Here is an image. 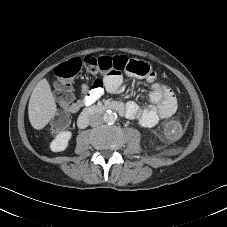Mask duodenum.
Returning a JSON list of instances; mask_svg holds the SVG:
<instances>
[{"instance_id":"1","label":"duodenum","mask_w":227,"mask_h":227,"mask_svg":"<svg viewBox=\"0 0 227 227\" xmlns=\"http://www.w3.org/2000/svg\"><path fill=\"white\" fill-rule=\"evenodd\" d=\"M108 110L116 111L120 113L121 115H125V107L123 104L118 102H109L105 104L96 105L93 107H90L86 109L79 117L78 119V127L79 128H85L88 126L90 119L93 115L97 113L106 112Z\"/></svg>"}]
</instances>
